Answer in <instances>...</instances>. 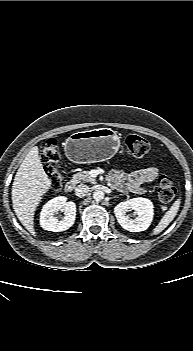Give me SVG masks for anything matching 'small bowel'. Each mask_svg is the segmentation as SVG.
I'll return each instance as SVG.
<instances>
[{
  "mask_svg": "<svg viewBox=\"0 0 193 351\" xmlns=\"http://www.w3.org/2000/svg\"><path fill=\"white\" fill-rule=\"evenodd\" d=\"M158 176L156 167H147L132 173L113 171L110 175L111 183L119 189H127L132 192H142L146 183L154 181Z\"/></svg>",
  "mask_w": 193,
  "mask_h": 351,
  "instance_id": "obj_1",
  "label": "small bowel"
}]
</instances>
